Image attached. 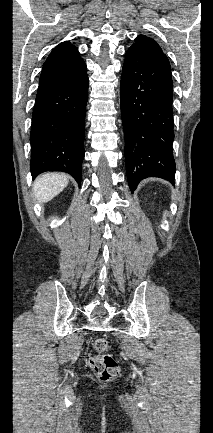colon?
<instances>
[{
  "instance_id": "obj_1",
  "label": "colon",
  "mask_w": 213,
  "mask_h": 433,
  "mask_svg": "<svg viewBox=\"0 0 213 433\" xmlns=\"http://www.w3.org/2000/svg\"><path fill=\"white\" fill-rule=\"evenodd\" d=\"M94 349L97 354L90 355L87 359L88 367L101 380H108L118 373V365L114 358L104 354L110 349V343L104 338L94 342Z\"/></svg>"
}]
</instances>
